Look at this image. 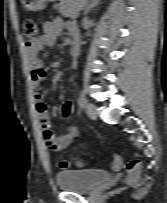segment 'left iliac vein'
Instances as JSON below:
<instances>
[{"label":"left iliac vein","mask_w":167,"mask_h":203,"mask_svg":"<svg viewBox=\"0 0 167 203\" xmlns=\"http://www.w3.org/2000/svg\"><path fill=\"white\" fill-rule=\"evenodd\" d=\"M86 113L90 119H96L97 118V111L96 107L92 103H87L86 105Z\"/></svg>","instance_id":"obj_1"}]
</instances>
